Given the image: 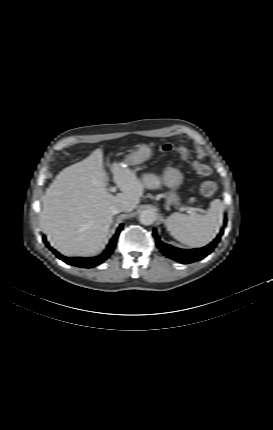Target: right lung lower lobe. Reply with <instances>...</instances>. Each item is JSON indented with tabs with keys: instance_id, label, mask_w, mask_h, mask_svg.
<instances>
[{
	"instance_id": "1",
	"label": "right lung lower lobe",
	"mask_w": 273,
	"mask_h": 430,
	"mask_svg": "<svg viewBox=\"0 0 273 430\" xmlns=\"http://www.w3.org/2000/svg\"><path fill=\"white\" fill-rule=\"evenodd\" d=\"M122 228H123V225L121 224L119 226V228L117 229L115 235L113 236V238L110 240L109 244L107 245L105 252L103 254H101L100 256H97V257H89V258L65 257V256H62L60 253H58L56 250H54L52 248H50V249L59 259H61L62 261H64L67 264L74 265L77 267H84V268L95 267V266L99 265L100 263H102L103 261H105L111 255V253L113 252V250L116 246V242H117L118 236H119ZM43 241L46 243V246H49V244L46 242L45 237H43Z\"/></svg>"
}]
</instances>
